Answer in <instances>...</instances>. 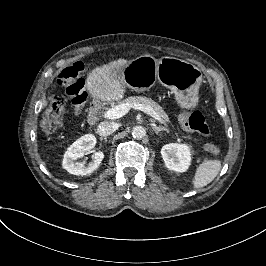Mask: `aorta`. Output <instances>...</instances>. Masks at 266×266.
I'll use <instances>...</instances> for the list:
<instances>
[{
	"instance_id": "762f6f07",
	"label": "aorta",
	"mask_w": 266,
	"mask_h": 266,
	"mask_svg": "<svg viewBox=\"0 0 266 266\" xmlns=\"http://www.w3.org/2000/svg\"><path fill=\"white\" fill-rule=\"evenodd\" d=\"M131 134L134 139L141 140L146 136V129L143 126H134Z\"/></svg>"
}]
</instances>
